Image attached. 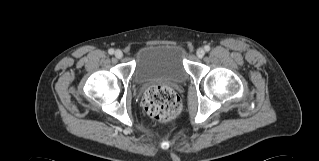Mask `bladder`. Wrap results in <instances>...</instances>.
<instances>
[{
  "mask_svg": "<svg viewBox=\"0 0 319 161\" xmlns=\"http://www.w3.org/2000/svg\"><path fill=\"white\" fill-rule=\"evenodd\" d=\"M135 78L140 84L153 81L181 83L187 79L185 51L179 44H149L135 54Z\"/></svg>",
  "mask_w": 319,
  "mask_h": 161,
  "instance_id": "obj_1",
  "label": "bladder"
}]
</instances>
